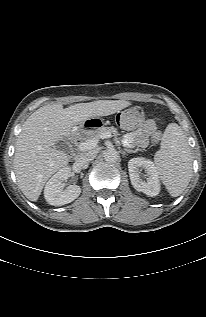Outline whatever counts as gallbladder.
I'll use <instances>...</instances> for the list:
<instances>
[{
	"instance_id": "bac80fb5",
	"label": "gallbladder",
	"mask_w": 206,
	"mask_h": 317,
	"mask_svg": "<svg viewBox=\"0 0 206 317\" xmlns=\"http://www.w3.org/2000/svg\"><path fill=\"white\" fill-rule=\"evenodd\" d=\"M55 148L66 153H68L70 150L69 144L65 140L58 141L55 144Z\"/></svg>"
}]
</instances>
